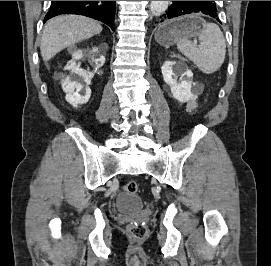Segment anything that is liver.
Instances as JSON below:
<instances>
[{"instance_id": "obj_1", "label": "liver", "mask_w": 271, "mask_h": 266, "mask_svg": "<svg viewBox=\"0 0 271 266\" xmlns=\"http://www.w3.org/2000/svg\"><path fill=\"white\" fill-rule=\"evenodd\" d=\"M102 31V26L90 18L63 15L52 18L44 27L40 51L44 61H49L64 48L86 40Z\"/></svg>"}]
</instances>
